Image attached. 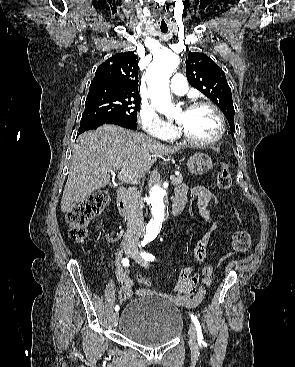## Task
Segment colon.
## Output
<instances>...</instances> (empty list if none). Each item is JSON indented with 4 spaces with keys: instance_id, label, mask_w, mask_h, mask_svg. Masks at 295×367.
<instances>
[{
    "instance_id": "colon-1",
    "label": "colon",
    "mask_w": 295,
    "mask_h": 367,
    "mask_svg": "<svg viewBox=\"0 0 295 367\" xmlns=\"http://www.w3.org/2000/svg\"><path fill=\"white\" fill-rule=\"evenodd\" d=\"M216 185L221 190H227L232 185V177L229 166L223 163L216 177ZM109 192L107 190H98L83 201H81L66 216L69 226V237L77 243H82L87 238L88 225L93 221L107 206L109 202ZM188 205L185 207L187 212H194L197 208V200L195 195H190ZM209 202L212 206L220 205V196L214 195ZM235 213V211H234ZM251 244L250 235L243 229L236 230L232 235V247L236 254L245 253ZM139 281L145 287H149L151 281L148 277L140 276Z\"/></svg>"
}]
</instances>
